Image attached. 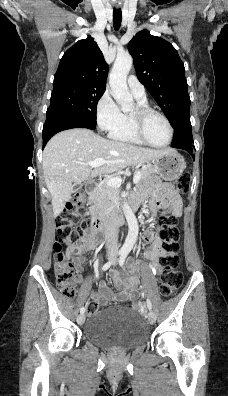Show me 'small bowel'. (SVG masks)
Returning <instances> with one entry per match:
<instances>
[{
	"instance_id": "obj_1",
	"label": "small bowel",
	"mask_w": 228,
	"mask_h": 396,
	"mask_svg": "<svg viewBox=\"0 0 228 396\" xmlns=\"http://www.w3.org/2000/svg\"><path fill=\"white\" fill-rule=\"evenodd\" d=\"M145 191H149L153 198L159 202L167 199L169 204L173 208V214L176 218L181 216L182 202L180 196L173 191L169 184H161L154 182L149 188H145ZM131 201L136 204L141 203V195L134 196ZM144 239L152 242L150 250L144 253L151 267L155 271L160 270L158 263L159 258L163 254L162 241L152 231L144 232ZM98 245V233L94 228L87 229L82 237L75 245L69 246L66 250L67 257L73 262L77 268H81L83 265V254L94 250ZM110 278L112 279L117 292H113L106 283L101 280L98 284V291L92 293V298L97 300L101 304H107L110 301H132L135 302L139 297V292L136 285L139 282L138 274L134 269H131L127 275H120L116 271L110 272ZM81 279V278H79ZM136 309L143 311L144 305L142 302L134 304Z\"/></svg>"
}]
</instances>
